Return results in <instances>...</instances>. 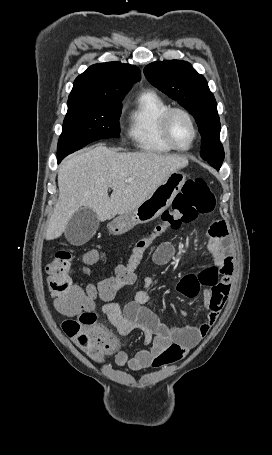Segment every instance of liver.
Listing matches in <instances>:
<instances>
[{"instance_id":"6515ba94","label":"liver","mask_w":272,"mask_h":455,"mask_svg":"<svg viewBox=\"0 0 272 455\" xmlns=\"http://www.w3.org/2000/svg\"><path fill=\"white\" fill-rule=\"evenodd\" d=\"M188 165L177 155L121 153L105 145L74 153L58 169L59 198L49 219L46 240L59 238L82 207L99 221L110 220L142 204L166 178ZM132 179L131 182H125ZM113 192L108 196V188Z\"/></svg>"}]
</instances>
